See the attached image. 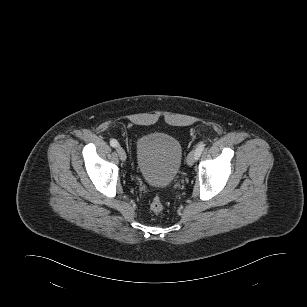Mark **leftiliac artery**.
<instances>
[{
	"label": "left iliac artery",
	"mask_w": 307,
	"mask_h": 307,
	"mask_svg": "<svg viewBox=\"0 0 307 307\" xmlns=\"http://www.w3.org/2000/svg\"><path fill=\"white\" fill-rule=\"evenodd\" d=\"M204 148H205V144H203V143H200V144L197 146V148H196V150H195V153H196V156H197L196 160H197L198 157L201 155V153H202V151L204 150Z\"/></svg>",
	"instance_id": "44dca946"
}]
</instances>
